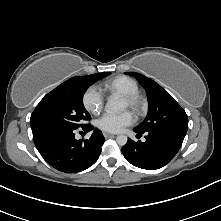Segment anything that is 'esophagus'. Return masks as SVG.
Instances as JSON below:
<instances>
[{
    "mask_svg": "<svg viewBox=\"0 0 221 221\" xmlns=\"http://www.w3.org/2000/svg\"><path fill=\"white\" fill-rule=\"evenodd\" d=\"M103 135H104L105 138H110V137L115 136V134L108 133V132H104Z\"/></svg>",
    "mask_w": 221,
    "mask_h": 221,
    "instance_id": "esophagus-1",
    "label": "esophagus"
}]
</instances>
